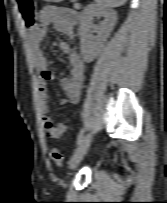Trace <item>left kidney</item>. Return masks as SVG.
<instances>
[{"label":"left kidney","mask_w":167,"mask_h":203,"mask_svg":"<svg viewBox=\"0 0 167 203\" xmlns=\"http://www.w3.org/2000/svg\"><path fill=\"white\" fill-rule=\"evenodd\" d=\"M94 16L103 17L104 21L100 23V32L97 38L92 41L89 33L93 27ZM116 21L117 14L113 10L106 9L98 4L88 5L85 8L79 28L80 49L85 62H92L100 54Z\"/></svg>","instance_id":"obj_1"}]
</instances>
